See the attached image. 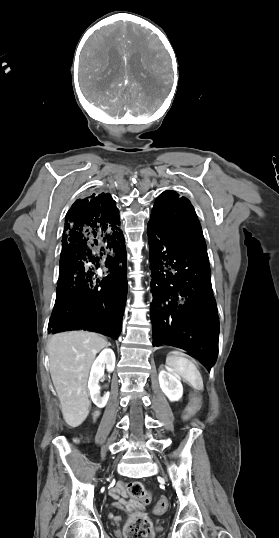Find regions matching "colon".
Listing matches in <instances>:
<instances>
[{"mask_svg":"<svg viewBox=\"0 0 279 538\" xmlns=\"http://www.w3.org/2000/svg\"><path fill=\"white\" fill-rule=\"evenodd\" d=\"M128 491L134 499H147L146 491L143 485L139 482L130 483ZM168 508V500L164 496H159L156 499L154 513L161 515ZM126 538H153L151 524L143 517H137L132 523L126 526L124 531Z\"/></svg>","mask_w":279,"mask_h":538,"instance_id":"1","label":"colon"}]
</instances>
